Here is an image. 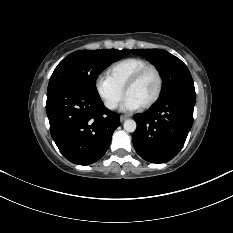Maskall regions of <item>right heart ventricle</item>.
<instances>
[{
    "label": "right heart ventricle",
    "mask_w": 233,
    "mask_h": 233,
    "mask_svg": "<svg viewBox=\"0 0 233 233\" xmlns=\"http://www.w3.org/2000/svg\"><path fill=\"white\" fill-rule=\"evenodd\" d=\"M149 64L147 60L139 57H129L115 62L107 69V77L119 88L124 90L128 80L140 68Z\"/></svg>",
    "instance_id": "1"
}]
</instances>
